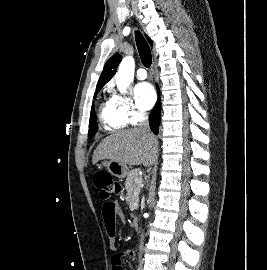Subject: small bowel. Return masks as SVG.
Returning a JSON list of instances; mask_svg holds the SVG:
<instances>
[{"label":"small bowel","instance_id":"1","mask_svg":"<svg viewBox=\"0 0 267 270\" xmlns=\"http://www.w3.org/2000/svg\"><path fill=\"white\" fill-rule=\"evenodd\" d=\"M117 217H123V212L116 202H106L103 205V218L105 221L106 229L108 232L109 238V246L110 249L113 252H116V243H115V232H116V218ZM116 257H121L120 254H114L112 257V270L114 265V259ZM120 269L118 270H124L121 266V263H119Z\"/></svg>","mask_w":267,"mask_h":270}]
</instances>
